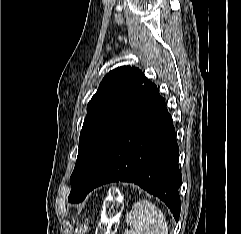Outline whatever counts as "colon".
Returning <instances> with one entry per match:
<instances>
[{"label": "colon", "mask_w": 241, "mask_h": 234, "mask_svg": "<svg viewBox=\"0 0 241 234\" xmlns=\"http://www.w3.org/2000/svg\"><path fill=\"white\" fill-rule=\"evenodd\" d=\"M122 203L117 190H110L104 203V219L98 228V234H111L116 217L121 211Z\"/></svg>", "instance_id": "colon-1"}]
</instances>
